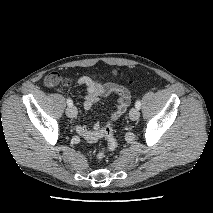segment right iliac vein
<instances>
[{
  "label": "right iliac vein",
  "instance_id": "obj_1",
  "mask_svg": "<svg viewBox=\"0 0 213 213\" xmlns=\"http://www.w3.org/2000/svg\"><path fill=\"white\" fill-rule=\"evenodd\" d=\"M66 114L68 117L70 118H74L77 116V109L73 106H69L67 109H66Z\"/></svg>",
  "mask_w": 213,
  "mask_h": 213
}]
</instances>
